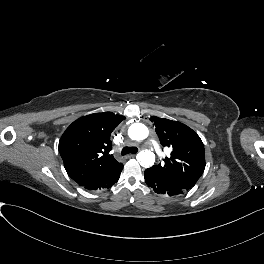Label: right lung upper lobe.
I'll return each instance as SVG.
<instances>
[{
  "label": "right lung upper lobe",
  "mask_w": 264,
  "mask_h": 264,
  "mask_svg": "<svg viewBox=\"0 0 264 264\" xmlns=\"http://www.w3.org/2000/svg\"><path fill=\"white\" fill-rule=\"evenodd\" d=\"M123 119L112 112L90 114L74 121L62 135L59 153L68 175L80 186L102 178L122 164L109 152L110 135Z\"/></svg>",
  "instance_id": "1"
}]
</instances>
